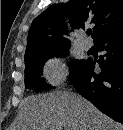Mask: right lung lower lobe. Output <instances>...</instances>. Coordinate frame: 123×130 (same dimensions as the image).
I'll use <instances>...</instances> for the list:
<instances>
[{
    "instance_id": "1",
    "label": "right lung lower lobe",
    "mask_w": 123,
    "mask_h": 130,
    "mask_svg": "<svg viewBox=\"0 0 123 130\" xmlns=\"http://www.w3.org/2000/svg\"><path fill=\"white\" fill-rule=\"evenodd\" d=\"M94 41L104 55L97 61L87 59L69 84L103 113L123 124V25ZM96 63L101 68L98 74L94 73Z\"/></svg>"
}]
</instances>
